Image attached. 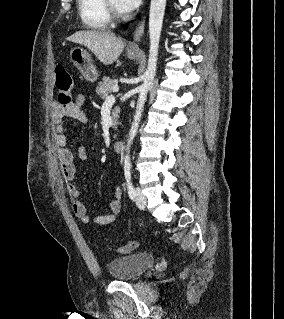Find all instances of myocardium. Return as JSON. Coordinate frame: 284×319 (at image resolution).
<instances>
[{
	"label": "myocardium",
	"instance_id": "myocardium-1",
	"mask_svg": "<svg viewBox=\"0 0 284 319\" xmlns=\"http://www.w3.org/2000/svg\"><path fill=\"white\" fill-rule=\"evenodd\" d=\"M108 14L113 20H123L126 18V14L117 10L112 4L111 0H104Z\"/></svg>",
	"mask_w": 284,
	"mask_h": 319
}]
</instances>
